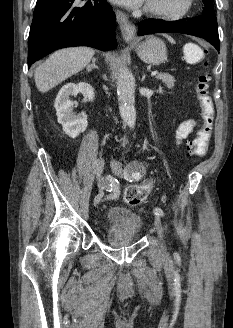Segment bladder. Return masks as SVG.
I'll return each instance as SVG.
<instances>
[{"mask_svg":"<svg viewBox=\"0 0 233 328\" xmlns=\"http://www.w3.org/2000/svg\"><path fill=\"white\" fill-rule=\"evenodd\" d=\"M105 219L108 232L128 235L136 239L142 225L141 217L126 207L115 206L106 211Z\"/></svg>","mask_w":233,"mask_h":328,"instance_id":"obj_1","label":"bladder"}]
</instances>
